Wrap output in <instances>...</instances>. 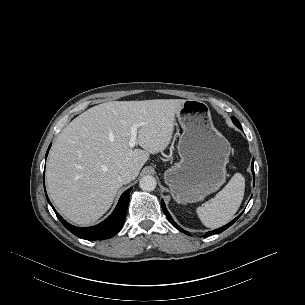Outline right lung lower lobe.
Returning <instances> with one entry per match:
<instances>
[{
	"label": "right lung lower lobe",
	"mask_w": 305,
	"mask_h": 305,
	"mask_svg": "<svg viewBox=\"0 0 305 305\" xmlns=\"http://www.w3.org/2000/svg\"><path fill=\"white\" fill-rule=\"evenodd\" d=\"M51 147V144L47 150L46 157L48 154V151ZM131 188H129L127 191H125L120 199L119 202L115 208V210L112 212V214L105 219L103 222H101L98 225L92 226V227H86V228H80L75 227L68 222H66L59 213L56 212V210L53 208L52 204L50 203L48 197L47 200L52 206L54 212L56 213V216L61 221V223L74 235L78 236L82 239L87 240H103L108 239L117 234L120 229L122 228V225L124 223L125 217H126V211L128 208L129 203V194H130ZM47 196V194H46Z\"/></svg>",
	"instance_id": "right-lung-lower-lobe-1"
}]
</instances>
